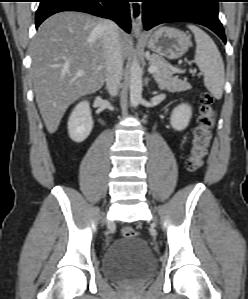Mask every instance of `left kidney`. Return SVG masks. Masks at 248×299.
I'll return each instance as SVG.
<instances>
[{"mask_svg": "<svg viewBox=\"0 0 248 299\" xmlns=\"http://www.w3.org/2000/svg\"><path fill=\"white\" fill-rule=\"evenodd\" d=\"M191 116V107L188 104L182 103L173 109L170 124L174 130L182 131L188 126Z\"/></svg>", "mask_w": 248, "mask_h": 299, "instance_id": "1", "label": "left kidney"}]
</instances>
